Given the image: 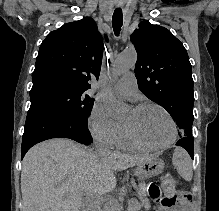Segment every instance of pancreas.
Instances as JSON below:
<instances>
[{
  "label": "pancreas",
  "instance_id": "obj_1",
  "mask_svg": "<svg viewBox=\"0 0 219 211\" xmlns=\"http://www.w3.org/2000/svg\"><path fill=\"white\" fill-rule=\"evenodd\" d=\"M128 208L127 211H138L142 207V202H137L136 199H127Z\"/></svg>",
  "mask_w": 219,
  "mask_h": 211
}]
</instances>
